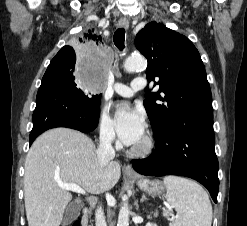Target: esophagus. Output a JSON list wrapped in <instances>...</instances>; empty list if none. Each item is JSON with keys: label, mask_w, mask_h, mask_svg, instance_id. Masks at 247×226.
Masks as SVG:
<instances>
[{"label": "esophagus", "mask_w": 247, "mask_h": 226, "mask_svg": "<svg viewBox=\"0 0 247 226\" xmlns=\"http://www.w3.org/2000/svg\"><path fill=\"white\" fill-rule=\"evenodd\" d=\"M118 27L128 28L129 21L127 19H120L117 23ZM124 171L129 175H136L135 171L131 167V165L127 164L124 166Z\"/></svg>", "instance_id": "1"}]
</instances>
